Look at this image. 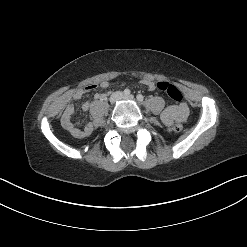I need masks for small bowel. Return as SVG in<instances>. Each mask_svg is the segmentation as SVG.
I'll list each match as a JSON object with an SVG mask.
<instances>
[{"mask_svg":"<svg viewBox=\"0 0 247 247\" xmlns=\"http://www.w3.org/2000/svg\"><path fill=\"white\" fill-rule=\"evenodd\" d=\"M142 84L147 87L149 91H154L156 89V85L152 80H143ZM107 88L109 83L107 81H101L99 84H90L85 88H81L76 90L71 96L70 103L64 110L61 116L62 126L74 137L76 138H84L92 132L93 125L91 123L87 124L84 129L76 128L72 123V115L74 112L73 102L80 100L86 92L96 89L97 87ZM105 97V94L95 93L92 100L85 102L82 105L83 112H87L91 103L93 101L102 99ZM189 113L188 106L185 103H178L168 106L161 114V119L167 127H171V125L175 121L183 122L187 119Z\"/></svg>","mask_w":247,"mask_h":247,"instance_id":"obj_1","label":"small bowel"}]
</instances>
